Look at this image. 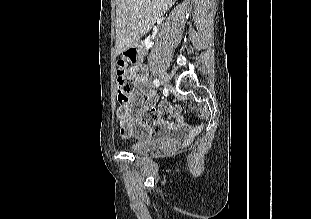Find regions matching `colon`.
<instances>
[{
    "instance_id": "1",
    "label": "colon",
    "mask_w": 311,
    "mask_h": 219,
    "mask_svg": "<svg viewBox=\"0 0 311 219\" xmlns=\"http://www.w3.org/2000/svg\"><path fill=\"white\" fill-rule=\"evenodd\" d=\"M129 50L128 56L131 59H134ZM116 78L118 89V102L120 105H126L129 102L133 91V69L129 68L125 61H118Z\"/></svg>"
}]
</instances>
